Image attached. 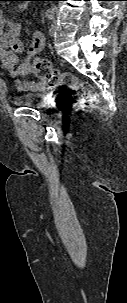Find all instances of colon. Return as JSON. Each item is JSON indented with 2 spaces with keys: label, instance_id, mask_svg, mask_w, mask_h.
Returning a JSON list of instances; mask_svg holds the SVG:
<instances>
[{
  "label": "colon",
  "instance_id": "5ec220e1",
  "mask_svg": "<svg viewBox=\"0 0 127 303\" xmlns=\"http://www.w3.org/2000/svg\"><path fill=\"white\" fill-rule=\"evenodd\" d=\"M33 65L36 75L44 79L48 86L68 89L59 97V101L64 107L93 106L97 103L98 97L91 84L79 81L70 72L54 68L46 58L34 57Z\"/></svg>",
  "mask_w": 127,
  "mask_h": 303
}]
</instances>
